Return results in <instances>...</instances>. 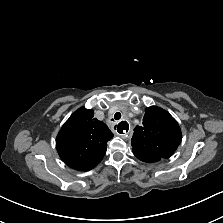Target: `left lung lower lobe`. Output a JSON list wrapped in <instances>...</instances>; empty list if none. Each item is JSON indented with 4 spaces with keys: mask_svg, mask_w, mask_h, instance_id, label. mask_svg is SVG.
<instances>
[{
    "mask_svg": "<svg viewBox=\"0 0 223 223\" xmlns=\"http://www.w3.org/2000/svg\"><path fill=\"white\" fill-rule=\"evenodd\" d=\"M134 155L141 161L147 162V163H153L160 160V158L144 155L138 152H134Z\"/></svg>",
    "mask_w": 223,
    "mask_h": 223,
    "instance_id": "left-lung-lower-lobe-1",
    "label": "left lung lower lobe"
}]
</instances>
